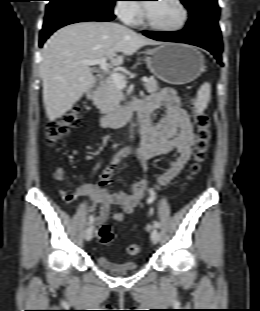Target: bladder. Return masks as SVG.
Returning a JSON list of instances; mask_svg holds the SVG:
<instances>
[{
	"label": "bladder",
	"instance_id": "1",
	"mask_svg": "<svg viewBox=\"0 0 260 311\" xmlns=\"http://www.w3.org/2000/svg\"><path fill=\"white\" fill-rule=\"evenodd\" d=\"M95 262L106 270L121 272V271H132L139 267L137 261H124V262H114L110 260L102 251H98L94 255Z\"/></svg>",
	"mask_w": 260,
	"mask_h": 311
}]
</instances>
